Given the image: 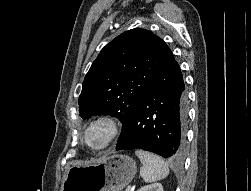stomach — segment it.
Listing matches in <instances>:
<instances>
[{
	"label": "stomach",
	"mask_w": 251,
	"mask_h": 191,
	"mask_svg": "<svg viewBox=\"0 0 251 191\" xmlns=\"http://www.w3.org/2000/svg\"><path fill=\"white\" fill-rule=\"evenodd\" d=\"M136 161L113 153L94 165H73L67 171L61 191H121L133 179Z\"/></svg>",
	"instance_id": "stomach-1"
}]
</instances>
